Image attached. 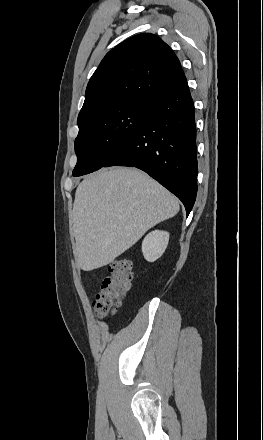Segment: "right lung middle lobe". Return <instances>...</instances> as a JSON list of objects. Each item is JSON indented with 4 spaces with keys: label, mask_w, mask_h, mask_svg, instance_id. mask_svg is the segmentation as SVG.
<instances>
[{
    "label": "right lung middle lobe",
    "mask_w": 263,
    "mask_h": 440,
    "mask_svg": "<svg viewBox=\"0 0 263 440\" xmlns=\"http://www.w3.org/2000/svg\"><path fill=\"white\" fill-rule=\"evenodd\" d=\"M148 111L149 103L132 102L104 110L79 123L73 176L102 168L110 154L138 129Z\"/></svg>",
    "instance_id": "obj_1"
}]
</instances>
